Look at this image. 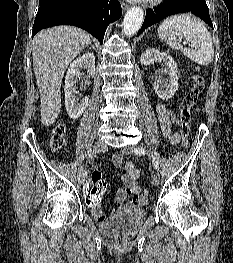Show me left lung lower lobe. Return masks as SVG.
<instances>
[{"instance_id":"obj_1","label":"left lung lower lobe","mask_w":233,"mask_h":263,"mask_svg":"<svg viewBox=\"0 0 233 263\" xmlns=\"http://www.w3.org/2000/svg\"><path fill=\"white\" fill-rule=\"evenodd\" d=\"M184 12L196 14L213 28L205 0H165L161 5L155 7L154 10H147L144 23L137 35L167 16Z\"/></svg>"}]
</instances>
